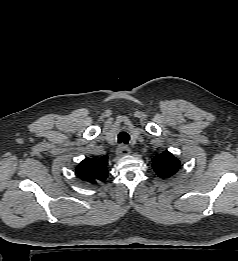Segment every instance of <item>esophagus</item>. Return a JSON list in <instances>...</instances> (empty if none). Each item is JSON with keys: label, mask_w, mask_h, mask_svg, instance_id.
<instances>
[{"label": "esophagus", "mask_w": 238, "mask_h": 261, "mask_svg": "<svg viewBox=\"0 0 238 261\" xmlns=\"http://www.w3.org/2000/svg\"><path fill=\"white\" fill-rule=\"evenodd\" d=\"M131 150L128 146L121 144L118 148H117V155L118 156H124V155H128L130 154Z\"/></svg>", "instance_id": "esophagus-1"}]
</instances>
